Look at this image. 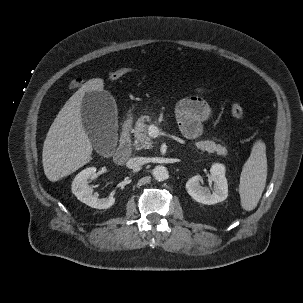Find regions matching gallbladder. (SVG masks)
Segmentation results:
<instances>
[{
    "instance_id": "gallbladder-1",
    "label": "gallbladder",
    "mask_w": 303,
    "mask_h": 303,
    "mask_svg": "<svg viewBox=\"0 0 303 303\" xmlns=\"http://www.w3.org/2000/svg\"><path fill=\"white\" fill-rule=\"evenodd\" d=\"M85 132L99 153L113 150L117 136V109L112 95L103 91L85 93L81 106Z\"/></svg>"
}]
</instances>
